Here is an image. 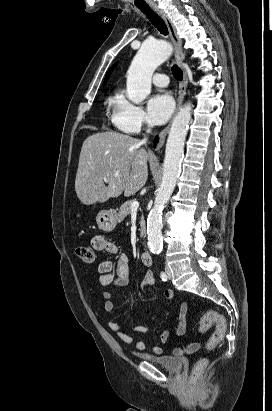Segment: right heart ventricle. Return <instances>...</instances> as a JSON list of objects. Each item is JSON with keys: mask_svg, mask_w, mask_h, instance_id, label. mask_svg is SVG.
<instances>
[{"mask_svg": "<svg viewBox=\"0 0 272 411\" xmlns=\"http://www.w3.org/2000/svg\"><path fill=\"white\" fill-rule=\"evenodd\" d=\"M117 94H118V93H117ZM117 94H115L114 96H112V97L109 98V102H110V103H112V102L115 100Z\"/></svg>", "mask_w": 272, "mask_h": 411, "instance_id": "1", "label": "right heart ventricle"}]
</instances>
